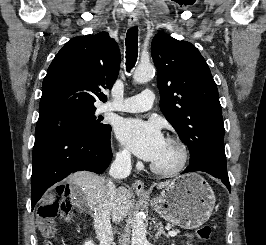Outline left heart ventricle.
Segmentation results:
<instances>
[{"label": "left heart ventricle", "instance_id": "1", "mask_svg": "<svg viewBox=\"0 0 266 245\" xmlns=\"http://www.w3.org/2000/svg\"><path fill=\"white\" fill-rule=\"evenodd\" d=\"M180 161V149L175 143L165 141L157 158L153 161V164L164 170H170L175 168Z\"/></svg>", "mask_w": 266, "mask_h": 245}]
</instances>
